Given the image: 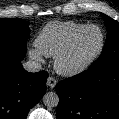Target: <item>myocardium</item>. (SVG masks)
I'll use <instances>...</instances> for the list:
<instances>
[{"instance_id": "myocardium-1", "label": "myocardium", "mask_w": 119, "mask_h": 119, "mask_svg": "<svg viewBox=\"0 0 119 119\" xmlns=\"http://www.w3.org/2000/svg\"><path fill=\"white\" fill-rule=\"evenodd\" d=\"M89 29H97L100 32L101 39L98 49L87 60L81 63L78 64L68 63V57L72 52L76 42ZM104 46H105V34L102 28L95 24L86 25L72 36V38L64 47V49L56 56L55 68L60 74L65 76H74L80 74L85 70H87L97 60V58L101 55Z\"/></svg>"}]
</instances>
